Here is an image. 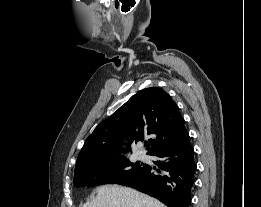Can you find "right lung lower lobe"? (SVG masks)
Returning a JSON list of instances; mask_svg holds the SVG:
<instances>
[{
	"mask_svg": "<svg viewBox=\"0 0 261 207\" xmlns=\"http://www.w3.org/2000/svg\"><path fill=\"white\" fill-rule=\"evenodd\" d=\"M159 158L155 164L159 169L152 172L149 165H144L137 173L117 184L135 188L157 198L168 207H189L191 188L194 184L196 163L190 138L182 143L152 154Z\"/></svg>",
	"mask_w": 261,
	"mask_h": 207,
	"instance_id": "right-lung-lower-lobe-1",
	"label": "right lung lower lobe"
}]
</instances>
